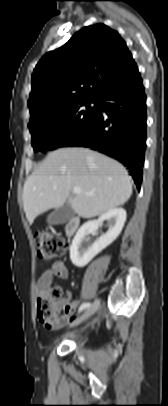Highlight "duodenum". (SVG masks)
Masks as SVG:
<instances>
[{
  "instance_id": "410a0bca",
  "label": "duodenum",
  "mask_w": 168,
  "mask_h": 406,
  "mask_svg": "<svg viewBox=\"0 0 168 406\" xmlns=\"http://www.w3.org/2000/svg\"><path fill=\"white\" fill-rule=\"evenodd\" d=\"M80 225V218L77 216H74L72 218H70V220L68 221L67 225H66V235L67 237H71L78 229Z\"/></svg>"
}]
</instances>
